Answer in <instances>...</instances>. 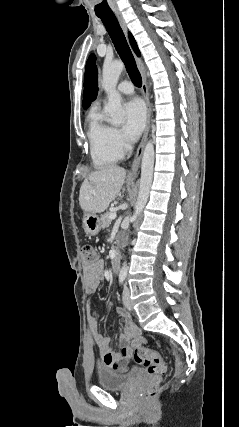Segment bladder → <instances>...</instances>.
<instances>
[{
  "label": "bladder",
  "mask_w": 239,
  "mask_h": 427,
  "mask_svg": "<svg viewBox=\"0 0 239 427\" xmlns=\"http://www.w3.org/2000/svg\"><path fill=\"white\" fill-rule=\"evenodd\" d=\"M140 372L138 369H130L124 372L112 371L100 368L97 372L98 384L108 390H126L137 380Z\"/></svg>",
  "instance_id": "obj_1"
}]
</instances>
